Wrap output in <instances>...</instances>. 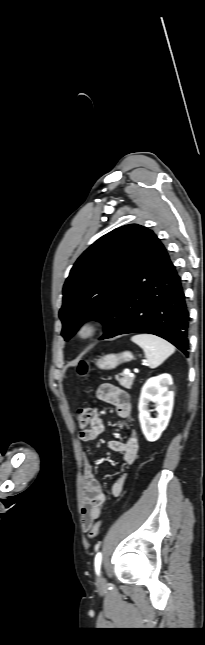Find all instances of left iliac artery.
Segmentation results:
<instances>
[{"mask_svg": "<svg viewBox=\"0 0 205 645\" xmlns=\"http://www.w3.org/2000/svg\"><path fill=\"white\" fill-rule=\"evenodd\" d=\"M101 561H102V554L99 552L96 554L95 560H94L95 571L97 574H99V571H100Z\"/></svg>", "mask_w": 205, "mask_h": 645, "instance_id": "left-iliac-artery-1", "label": "left iliac artery"}]
</instances>
